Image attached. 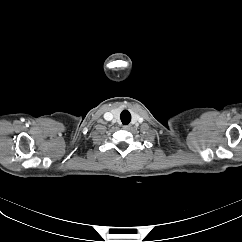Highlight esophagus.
I'll return each instance as SVG.
<instances>
[{"label": "esophagus", "mask_w": 242, "mask_h": 242, "mask_svg": "<svg viewBox=\"0 0 242 242\" xmlns=\"http://www.w3.org/2000/svg\"><path fill=\"white\" fill-rule=\"evenodd\" d=\"M130 128H131L130 125H124V126H123V129H125V130H129Z\"/></svg>", "instance_id": "esophagus-1"}]
</instances>
